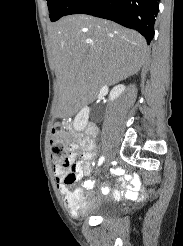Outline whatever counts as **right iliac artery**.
Masks as SVG:
<instances>
[{"label":"right iliac artery","instance_id":"right-iliac-artery-1","mask_svg":"<svg viewBox=\"0 0 183 246\" xmlns=\"http://www.w3.org/2000/svg\"><path fill=\"white\" fill-rule=\"evenodd\" d=\"M103 161H104V157L102 156L98 161V166H100L103 163Z\"/></svg>","mask_w":183,"mask_h":246}]
</instances>
